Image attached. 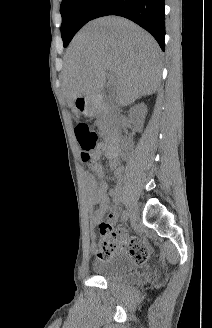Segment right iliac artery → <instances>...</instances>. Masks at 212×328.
I'll return each instance as SVG.
<instances>
[{
  "label": "right iliac artery",
  "instance_id": "obj_1",
  "mask_svg": "<svg viewBox=\"0 0 212 328\" xmlns=\"http://www.w3.org/2000/svg\"><path fill=\"white\" fill-rule=\"evenodd\" d=\"M129 218V212L128 210H124L123 213H122V221L123 222H126Z\"/></svg>",
  "mask_w": 212,
  "mask_h": 328
}]
</instances>
